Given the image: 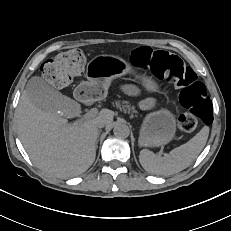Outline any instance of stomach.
<instances>
[{
	"label": "stomach",
	"instance_id": "stomach-1",
	"mask_svg": "<svg viewBox=\"0 0 231 231\" xmlns=\"http://www.w3.org/2000/svg\"><path fill=\"white\" fill-rule=\"evenodd\" d=\"M131 72V67L123 59L114 55H100L93 58L86 67L88 81L81 83L75 90L78 100L91 102L107 96L108 87L113 79ZM141 84L146 91L158 90L156 82L143 76ZM176 133V119L167 109L148 114L141 126L139 144L159 147L173 140Z\"/></svg>",
	"mask_w": 231,
	"mask_h": 231
}]
</instances>
